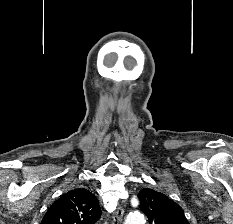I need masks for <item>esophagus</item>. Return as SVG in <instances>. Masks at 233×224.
Segmentation results:
<instances>
[{
  "label": "esophagus",
  "instance_id": "esophagus-1",
  "mask_svg": "<svg viewBox=\"0 0 233 224\" xmlns=\"http://www.w3.org/2000/svg\"><path fill=\"white\" fill-rule=\"evenodd\" d=\"M123 215H124V210L122 208V206H118V208L116 209V211L113 214V222L117 221L118 224H122V220H123Z\"/></svg>",
  "mask_w": 233,
  "mask_h": 224
}]
</instances>
